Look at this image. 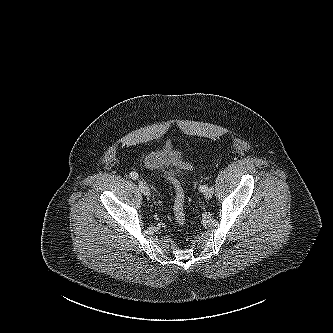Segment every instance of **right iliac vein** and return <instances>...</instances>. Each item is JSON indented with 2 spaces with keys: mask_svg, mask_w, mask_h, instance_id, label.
<instances>
[{
  "mask_svg": "<svg viewBox=\"0 0 333 333\" xmlns=\"http://www.w3.org/2000/svg\"><path fill=\"white\" fill-rule=\"evenodd\" d=\"M138 186H139V189H140V191L142 192L143 195L150 196L149 187L145 182H143L141 180L138 181Z\"/></svg>",
  "mask_w": 333,
  "mask_h": 333,
  "instance_id": "obj_1",
  "label": "right iliac vein"
}]
</instances>
